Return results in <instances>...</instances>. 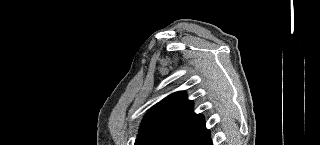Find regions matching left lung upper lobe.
Masks as SVG:
<instances>
[{
    "label": "left lung upper lobe",
    "instance_id": "obj_1",
    "mask_svg": "<svg viewBox=\"0 0 320 145\" xmlns=\"http://www.w3.org/2000/svg\"><path fill=\"white\" fill-rule=\"evenodd\" d=\"M204 124V117L193 112V102L186 98L185 92H176L149 110L135 145H179Z\"/></svg>",
    "mask_w": 320,
    "mask_h": 145
}]
</instances>
